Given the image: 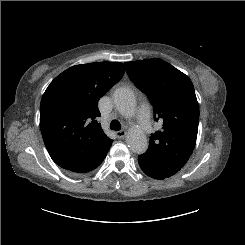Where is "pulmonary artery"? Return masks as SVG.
I'll use <instances>...</instances> for the list:
<instances>
[{"label": "pulmonary artery", "instance_id": "e3ab8cb5", "mask_svg": "<svg viewBox=\"0 0 245 245\" xmlns=\"http://www.w3.org/2000/svg\"><path fill=\"white\" fill-rule=\"evenodd\" d=\"M138 123H139L141 130H143L144 132L149 133L151 131L152 123L150 120L148 105H145L141 108L140 118L138 120Z\"/></svg>", "mask_w": 245, "mask_h": 245}]
</instances>
